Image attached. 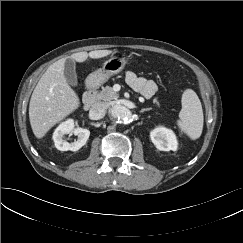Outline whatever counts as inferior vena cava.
<instances>
[{"mask_svg": "<svg viewBox=\"0 0 243 243\" xmlns=\"http://www.w3.org/2000/svg\"><path fill=\"white\" fill-rule=\"evenodd\" d=\"M106 114V106L103 103H95L90 109V116L93 119H101Z\"/></svg>", "mask_w": 243, "mask_h": 243, "instance_id": "inferior-vena-cava-1", "label": "inferior vena cava"}]
</instances>
